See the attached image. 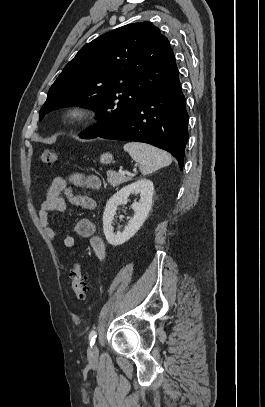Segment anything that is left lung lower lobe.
<instances>
[{
	"label": "left lung lower lobe",
	"mask_w": 265,
	"mask_h": 407,
	"mask_svg": "<svg viewBox=\"0 0 265 407\" xmlns=\"http://www.w3.org/2000/svg\"><path fill=\"white\" fill-rule=\"evenodd\" d=\"M188 119L177 73L156 87L124 120L97 137L157 146L170 152L182 169Z\"/></svg>",
	"instance_id": "0a47b994"
}]
</instances>
